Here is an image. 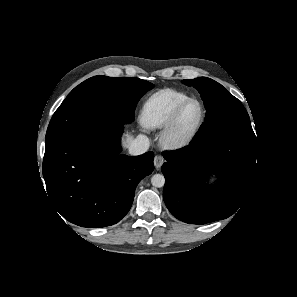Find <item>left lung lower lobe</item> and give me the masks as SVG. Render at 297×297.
<instances>
[{
    "label": "left lung lower lobe",
    "instance_id": "1",
    "mask_svg": "<svg viewBox=\"0 0 297 297\" xmlns=\"http://www.w3.org/2000/svg\"><path fill=\"white\" fill-rule=\"evenodd\" d=\"M163 156L164 202L173 216L189 224L234 214L246 201L257 170L255 144L235 136L192 140ZM210 174L219 178L213 187L207 184Z\"/></svg>",
    "mask_w": 297,
    "mask_h": 297
}]
</instances>
